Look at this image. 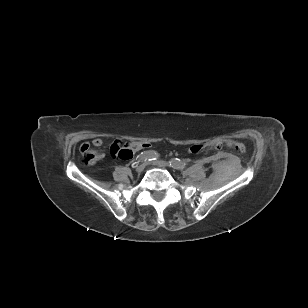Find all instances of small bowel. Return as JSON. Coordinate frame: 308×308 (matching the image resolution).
Listing matches in <instances>:
<instances>
[{
	"mask_svg": "<svg viewBox=\"0 0 308 308\" xmlns=\"http://www.w3.org/2000/svg\"><path fill=\"white\" fill-rule=\"evenodd\" d=\"M135 144L137 143H142V142H133ZM92 144L95 146V147H101L103 145V140L101 138H95L93 141H92ZM120 143L119 142H115L113 145H112V148L113 147H116V146H119ZM138 151V150H137Z\"/></svg>",
	"mask_w": 308,
	"mask_h": 308,
	"instance_id": "small-bowel-1",
	"label": "small bowel"
}]
</instances>
